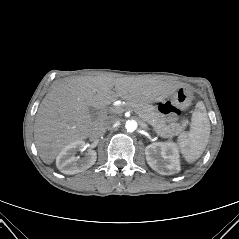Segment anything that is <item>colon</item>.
<instances>
[{"label":"colon","mask_w":239,"mask_h":239,"mask_svg":"<svg viewBox=\"0 0 239 239\" xmlns=\"http://www.w3.org/2000/svg\"><path fill=\"white\" fill-rule=\"evenodd\" d=\"M179 97L181 98L182 101H184L186 98L182 90L179 92ZM159 109L163 114L168 115L172 118H176L180 114V111L170 102L161 103Z\"/></svg>","instance_id":"1"}]
</instances>
